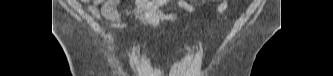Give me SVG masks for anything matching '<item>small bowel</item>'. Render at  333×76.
I'll list each match as a JSON object with an SVG mask.
<instances>
[{
  "label": "small bowel",
  "instance_id": "c3829d8e",
  "mask_svg": "<svg viewBox=\"0 0 333 76\" xmlns=\"http://www.w3.org/2000/svg\"><path fill=\"white\" fill-rule=\"evenodd\" d=\"M87 4L88 12L95 19H105V25L112 30L109 33V38L115 44V36L113 30L123 29L126 24L123 20L129 17H135L152 26H157L161 22L170 21L176 22L177 15L166 13L163 11V6L167 4H176L182 10L193 13L195 7L194 1L191 0H136L133 5L121 7L118 0H92L83 1ZM227 1H221L218 6V12L222 13L227 8Z\"/></svg>",
  "mask_w": 333,
  "mask_h": 76
}]
</instances>
